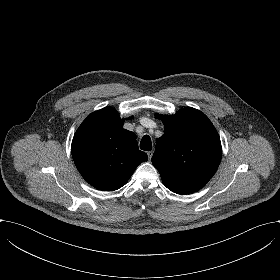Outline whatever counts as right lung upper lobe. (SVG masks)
Segmentation results:
<instances>
[{
    "instance_id": "1",
    "label": "right lung upper lobe",
    "mask_w": 280,
    "mask_h": 280,
    "mask_svg": "<svg viewBox=\"0 0 280 280\" xmlns=\"http://www.w3.org/2000/svg\"><path fill=\"white\" fill-rule=\"evenodd\" d=\"M123 123L114 108L106 107L90 114L74 135V163L82 177L99 190L121 188L136 167L147 161L136 135L124 129Z\"/></svg>"
}]
</instances>
